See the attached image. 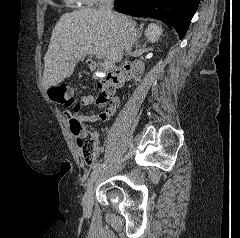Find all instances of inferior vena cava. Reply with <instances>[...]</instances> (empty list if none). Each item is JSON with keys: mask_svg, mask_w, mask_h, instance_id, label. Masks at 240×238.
I'll return each instance as SVG.
<instances>
[{"mask_svg": "<svg viewBox=\"0 0 240 238\" xmlns=\"http://www.w3.org/2000/svg\"><path fill=\"white\" fill-rule=\"evenodd\" d=\"M114 0H99V12L110 19H117V15L112 12ZM136 39V31L134 28H130L124 39V48L127 53H131L133 44Z\"/></svg>", "mask_w": 240, "mask_h": 238, "instance_id": "obj_1", "label": "inferior vena cava"}]
</instances>
